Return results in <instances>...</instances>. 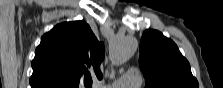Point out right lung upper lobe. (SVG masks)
<instances>
[{
    "mask_svg": "<svg viewBox=\"0 0 223 88\" xmlns=\"http://www.w3.org/2000/svg\"><path fill=\"white\" fill-rule=\"evenodd\" d=\"M104 45L82 21L56 25L41 38L32 61V88H89L101 79Z\"/></svg>",
    "mask_w": 223,
    "mask_h": 88,
    "instance_id": "obj_1",
    "label": "right lung upper lobe"
}]
</instances>
